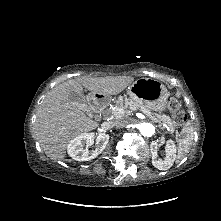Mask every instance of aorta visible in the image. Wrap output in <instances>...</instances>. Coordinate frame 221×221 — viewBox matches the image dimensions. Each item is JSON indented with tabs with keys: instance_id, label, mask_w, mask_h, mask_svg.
Returning <instances> with one entry per match:
<instances>
[{
	"instance_id": "1",
	"label": "aorta",
	"mask_w": 221,
	"mask_h": 221,
	"mask_svg": "<svg viewBox=\"0 0 221 221\" xmlns=\"http://www.w3.org/2000/svg\"><path fill=\"white\" fill-rule=\"evenodd\" d=\"M139 131L144 137H151L155 133V127L151 123H141Z\"/></svg>"
}]
</instances>
